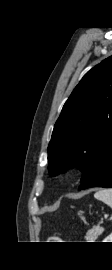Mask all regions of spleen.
<instances>
[{"instance_id":"1","label":"spleen","mask_w":112,"mask_h":270,"mask_svg":"<svg viewBox=\"0 0 112 270\" xmlns=\"http://www.w3.org/2000/svg\"><path fill=\"white\" fill-rule=\"evenodd\" d=\"M94 197L112 208V188L101 189L94 194Z\"/></svg>"}]
</instances>
